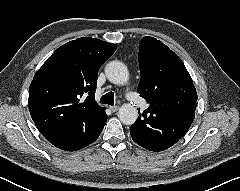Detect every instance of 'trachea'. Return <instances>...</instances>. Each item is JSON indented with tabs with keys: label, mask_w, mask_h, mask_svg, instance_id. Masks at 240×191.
<instances>
[{
	"label": "trachea",
	"mask_w": 240,
	"mask_h": 191,
	"mask_svg": "<svg viewBox=\"0 0 240 191\" xmlns=\"http://www.w3.org/2000/svg\"><path fill=\"white\" fill-rule=\"evenodd\" d=\"M100 103L114 105V93L108 92L105 95H103L100 99Z\"/></svg>",
	"instance_id": "3493384b"
}]
</instances>
